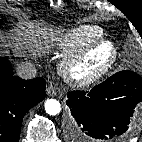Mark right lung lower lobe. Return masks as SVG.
Wrapping results in <instances>:
<instances>
[{
	"mask_svg": "<svg viewBox=\"0 0 142 142\" xmlns=\"http://www.w3.org/2000/svg\"><path fill=\"white\" fill-rule=\"evenodd\" d=\"M43 78L23 80L0 58V142H19L25 113L46 95Z\"/></svg>",
	"mask_w": 142,
	"mask_h": 142,
	"instance_id": "obj_1",
	"label": "right lung lower lobe"
}]
</instances>
